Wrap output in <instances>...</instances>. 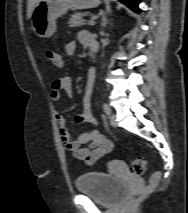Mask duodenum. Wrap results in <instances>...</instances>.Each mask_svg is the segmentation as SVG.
I'll list each match as a JSON object with an SVG mask.
<instances>
[{"label": "duodenum", "mask_w": 188, "mask_h": 213, "mask_svg": "<svg viewBox=\"0 0 188 213\" xmlns=\"http://www.w3.org/2000/svg\"><path fill=\"white\" fill-rule=\"evenodd\" d=\"M89 47L93 50V52H95L97 50L98 45H97V42H96V40L94 38L90 39ZM89 76H90L91 80L94 81V79H95V73L91 72L89 74Z\"/></svg>", "instance_id": "obj_1"}]
</instances>
